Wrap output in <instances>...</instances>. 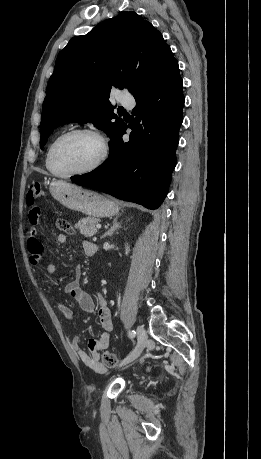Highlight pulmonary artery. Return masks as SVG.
I'll list each match as a JSON object with an SVG mask.
<instances>
[{
    "label": "pulmonary artery",
    "mask_w": 261,
    "mask_h": 459,
    "mask_svg": "<svg viewBox=\"0 0 261 459\" xmlns=\"http://www.w3.org/2000/svg\"><path fill=\"white\" fill-rule=\"evenodd\" d=\"M120 103L121 105L125 106V107H128V108H131L134 106L135 102H134V99L131 98V97H128V96H123L120 98Z\"/></svg>",
    "instance_id": "1"
}]
</instances>
